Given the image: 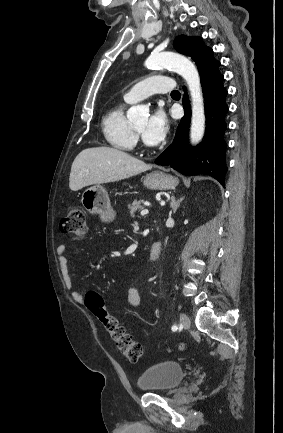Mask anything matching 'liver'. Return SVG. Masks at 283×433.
Wrapping results in <instances>:
<instances>
[{"label":"liver","mask_w":283,"mask_h":433,"mask_svg":"<svg viewBox=\"0 0 283 433\" xmlns=\"http://www.w3.org/2000/svg\"><path fill=\"white\" fill-rule=\"evenodd\" d=\"M149 168H152V164H145L143 160L134 158L117 148H110V146L85 148L72 162L69 186L71 190H80L88 184L129 178Z\"/></svg>","instance_id":"obj_1"}]
</instances>
